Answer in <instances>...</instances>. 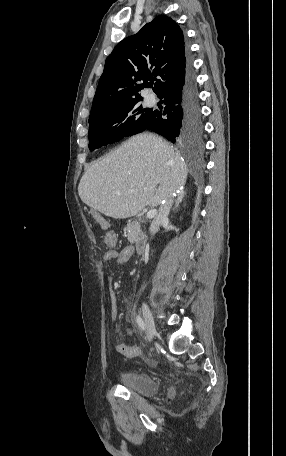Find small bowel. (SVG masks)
Listing matches in <instances>:
<instances>
[{
  "instance_id": "c3829d8e",
  "label": "small bowel",
  "mask_w": 286,
  "mask_h": 456,
  "mask_svg": "<svg viewBox=\"0 0 286 456\" xmlns=\"http://www.w3.org/2000/svg\"><path fill=\"white\" fill-rule=\"evenodd\" d=\"M105 243L110 248L104 253L105 262H114L120 265L128 262L135 255V250L132 246H126L121 250L114 248L117 243V238L116 234L112 231L106 233ZM109 281L111 282V278H109ZM110 305L112 319L116 321L118 318V304L116 294L112 289L110 290ZM128 317H131V314H128ZM128 333L131 334V331L128 330ZM116 349L119 354L129 358L136 356L140 351L139 346L127 344H119Z\"/></svg>"
}]
</instances>
